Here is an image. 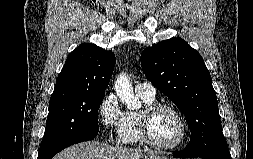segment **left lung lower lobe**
<instances>
[{"mask_svg":"<svg viewBox=\"0 0 253 159\" xmlns=\"http://www.w3.org/2000/svg\"><path fill=\"white\" fill-rule=\"evenodd\" d=\"M178 158L232 159L224 135L214 139L206 152L200 153L197 142H190L185 149L173 155Z\"/></svg>","mask_w":253,"mask_h":159,"instance_id":"1","label":"left lung lower lobe"}]
</instances>
